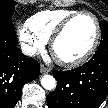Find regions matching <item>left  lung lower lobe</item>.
Wrapping results in <instances>:
<instances>
[{
	"mask_svg": "<svg viewBox=\"0 0 108 108\" xmlns=\"http://www.w3.org/2000/svg\"><path fill=\"white\" fill-rule=\"evenodd\" d=\"M52 73L57 87L47 98L49 108H98L108 95V53H95L78 68Z\"/></svg>",
	"mask_w": 108,
	"mask_h": 108,
	"instance_id": "left-lung-lower-lobe-1",
	"label": "left lung lower lobe"
}]
</instances>
